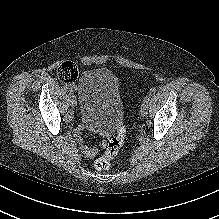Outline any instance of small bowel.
I'll use <instances>...</instances> for the list:
<instances>
[{
	"instance_id": "c3829d8e",
	"label": "small bowel",
	"mask_w": 219,
	"mask_h": 219,
	"mask_svg": "<svg viewBox=\"0 0 219 219\" xmlns=\"http://www.w3.org/2000/svg\"><path fill=\"white\" fill-rule=\"evenodd\" d=\"M103 136H107L108 135V133H104V134H102ZM79 138H80V133H79V136H78ZM104 146V144H100L99 146H97V147H88V146H86V145H81V148H82V152L87 156V157H94V156H96L98 153H99V151H100V149L102 148Z\"/></svg>"
}]
</instances>
